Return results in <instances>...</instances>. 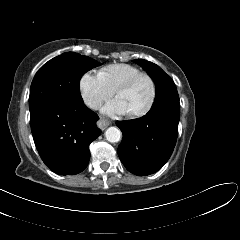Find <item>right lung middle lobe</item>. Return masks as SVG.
<instances>
[{
    "label": "right lung middle lobe",
    "instance_id": "right-lung-middle-lobe-1",
    "mask_svg": "<svg viewBox=\"0 0 240 240\" xmlns=\"http://www.w3.org/2000/svg\"><path fill=\"white\" fill-rule=\"evenodd\" d=\"M98 65L96 60L75 52L63 53L45 63L31 84L30 115L55 103H82L80 78Z\"/></svg>",
    "mask_w": 240,
    "mask_h": 240
}]
</instances>
